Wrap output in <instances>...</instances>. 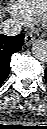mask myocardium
I'll return each instance as SVG.
<instances>
[{"label": "myocardium", "mask_w": 47, "mask_h": 129, "mask_svg": "<svg viewBox=\"0 0 47 129\" xmlns=\"http://www.w3.org/2000/svg\"><path fill=\"white\" fill-rule=\"evenodd\" d=\"M45 8H46V5H45ZM45 8H44L43 11L39 14V19L42 18L43 14H44V11H45Z\"/></svg>", "instance_id": "obj_1"}]
</instances>
